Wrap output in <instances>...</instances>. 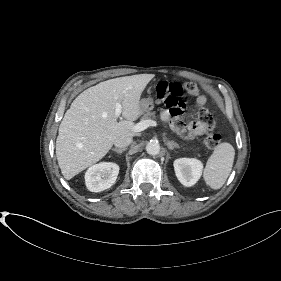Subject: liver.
Here are the masks:
<instances>
[{
	"mask_svg": "<svg viewBox=\"0 0 281 281\" xmlns=\"http://www.w3.org/2000/svg\"><path fill=\"white\" fill-rule=\"evenodd\" d=\"M152 75L139 74L101 82L84 90L72 102L59 126L56 157L61 173L70 180L101 160L116 138L133 137L140 113V97ZM122 106L117 121L115 105Z\"/></svg>",
	"mask_w": 281,
	"mask_h": 281,
	"instance_id": "1",
	"label": "liver"
}]
</instances>
